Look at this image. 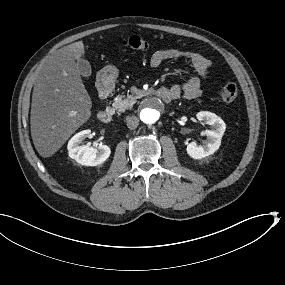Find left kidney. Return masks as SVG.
<instances>
[{"label": "left kidney", "mask_w": 285, "mask_h": 285, "mask_svg": "<svg viewBox=\"0 0 285 285\" xmlns=\"http://www.w3.org/2000/svg\"><path fill=\"white\" fill-rule=\"evenodd\" d=\"M197 118L204 124L213 127L212 130H207L205 132L207 140L204 145H198L195 142H192L186 147V152L192 159L201 160L212 155L219 149L222 136L225 132V123L220 117L211 112H200L198 113Z\"/></svg>", "instance_id": "left-kidney-1"}]
</instances>
